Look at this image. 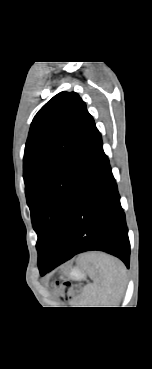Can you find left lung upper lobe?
Returning <instances> with one entry per match:
<instances>
[{"label": "left lung upper lobe", "mask_w": 152, "mask_h": 369, "mask_svg": "<svg viewBox=\"0 0 152 369\" xmlns=\"http://www.w3.org/2000/svg\"><path fill=\"white\" fill-rule=\"evenodd\" d=\"M97 131L85 102L75 92L55 95L31 123L23 177L38 235V264L54 259L60 249Z\"/></svg>", "instance_id": "obj_1"}]
</instances>
